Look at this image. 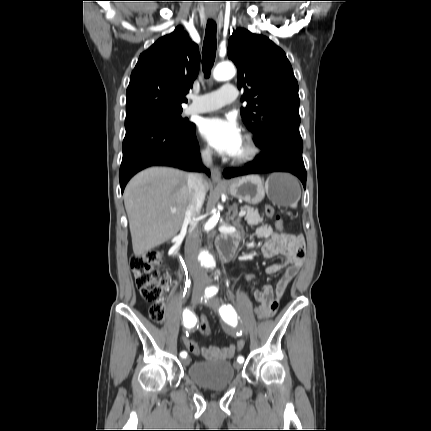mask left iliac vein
<instances>
[{"mask_svg":"<svg viewBox=\"0 0 431 431\" xmlns=\"http://www.w3.org/2000/svg\"><path fill=\"white\" fill-rule=\"evenodd\" d=\"M205 304L212 308L214 311H217L219 307V301L216 298L208 300L207 302H205ZM237 367H241V365L238 363Z\"/></svg>","mask_w":431,"mask_h":431,"instance_id":"obj_1","label":"left iliac vein"}]
</instances>
